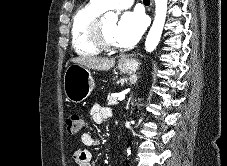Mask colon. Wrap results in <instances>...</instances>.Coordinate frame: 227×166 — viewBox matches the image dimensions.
Listing matches in <instances>:
<instances>
[{
  "label": "colon",
  "mask_w": 227,
  "mask_h": 166,
  "mask_svg": "<svg viewBox=\"0 0 227 166\" xmlns=\"http://www.w3.org/2000/svg\"><path fill=\"white\" fill-rule=\"evenodd\" d=\"M67 132L69 135H75L85 128V122L77 113H71L66 119Z\"/></svg>",
  "instance_id": "5ec220e1"
}]
</instances>
